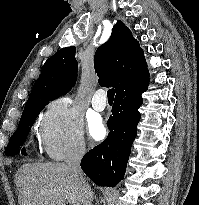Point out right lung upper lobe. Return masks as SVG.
I'll return each mask as SVG.
<instances>
[{
	"mask_svg": "<svg viewBox=\"0 0 199 205\" xmlns=\"http://www.w3.org/2000/svg\"><path fill=\"white\" fill-rule=\"evenodd\" d=\"M75 52L74 46L62 48L45 62L26 104L40 99L54 100L71 90L77 78ZM94 67L99 84L115 87L116 92L148 74L143 50L120 20L114 25L110 39L96 50Z\"/></svg>",
	"mask_w": 199,
	"mask_h": 205,
	"instance_id": "right-lung-upper-lobe-1",
	"label": "right lung upper lobe"
}]
</instances>
